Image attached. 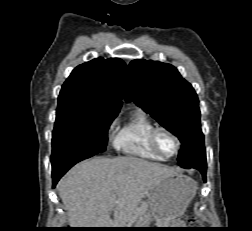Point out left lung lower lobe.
Here are the masks:
<instances>
[{"label":"left lung lower lobe","instance_id":"1","mask_svg":"<svg viewBox=\"0 0 252 231\" xmlns=\"http://www.w3.org/2000/svg\"><path fill=\"white\" fill-rule=\"evenodd\" d=\"M187 168H195L197 170H199L202 173V176L204 178V181L206 182V168H207V164H200V165H190Z\"/></svg>","mask_w":252,"mask_h":231}]
</instances>
